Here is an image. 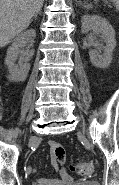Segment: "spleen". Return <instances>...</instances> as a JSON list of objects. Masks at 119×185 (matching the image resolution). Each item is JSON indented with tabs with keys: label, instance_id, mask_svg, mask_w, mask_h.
Masks as SVG:
<instances>
[{
	"label": "spleen",
	"instance_id": "obj_1",
	"mask_svg": "<svg viewBox=\"0 0 119 185\" xmlns=\"http://www.w3.org/2000/svg\"><path fill=\"white\" fill-rule=\"evenodd\" d=\"M113 2L115 3L116 8L119 10V0H113Z\"/></svg>",
	"mask_w": 119,
	"mask_h": 185
}]
</instances>
